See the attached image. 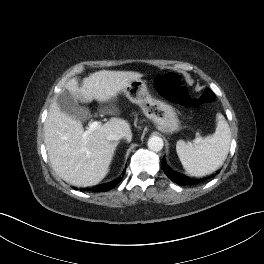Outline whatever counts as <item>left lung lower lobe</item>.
Returning <instances> with one entry per match:
<instances>
[{
    "instance_id": "left-lung-lower-lobe-1",
    "label": "left lung lower lobe",
    "mask_w": 264,
    "mask_h": 264,
    "mask_svg": "<svg viewBox=\"0 0 264 264\" xmlns=\"http://www.w3.org/2000/svg\"><path fill=\"white\" fill-rule=\"evenodd\" d=\"M162 166L163 170L166 173V175L175 183L180 185H195L198 183H201L205 179H208L210 177H213L215 174L211 175L210 177L202 178V179H193L190 177H187L181 173H178L176 171H173L165 162V159H162ZM218 173V172H217Z\"/></svg>"
}]
</instances>
